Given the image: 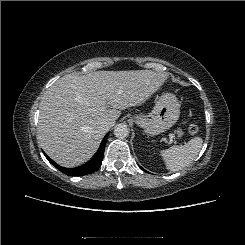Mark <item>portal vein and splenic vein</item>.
<instances>
[{
    "mask_svg": "<svg viewBox=\"0 0 245 245\" xmlns=\"http://www.w3.org/2000/svg\"><path fill=\"white\" fill-rule=\"evenodd\" d=\"M175 137H176L175 134L169 133V138H170V139L175 140Z\"/></svg>",
    "mask_w": 245,
    "mask_h": 245,
    "instance_id": "portal-vein-and-splenic-vein-1",
    "label": "portal vein and splenic vein"
}]
</instances>
